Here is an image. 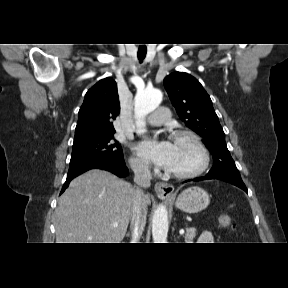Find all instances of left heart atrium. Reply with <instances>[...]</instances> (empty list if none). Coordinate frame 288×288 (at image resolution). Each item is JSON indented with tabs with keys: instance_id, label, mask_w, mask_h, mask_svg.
<instances>
[{
	"instance_id": "39dd6f15",
	"label": "left heart atrium",
	"mask_w": 288,
	"mask_h": 288,
	"mask_svg": "<svg viewBox=\"0 0 288 288\" xmlns=\"http://www.w3.org/2000/svg\"><path fill=\"white\" fill-rule=\"evenodd\" d=\"M137 154L158 167L167 168L170 164L174 145L168 140L145 139L136 146Z\"/></svg>"
}]
</instances>
